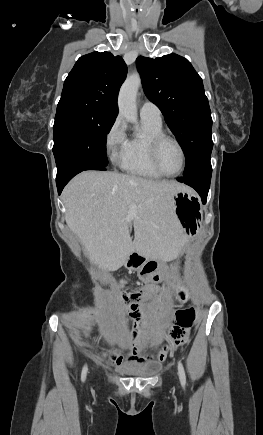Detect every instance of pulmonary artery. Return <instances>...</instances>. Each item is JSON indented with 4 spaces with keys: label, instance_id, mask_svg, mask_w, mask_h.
I'll list each match as a JSON object with an SVG mask.
<instances>
[{
    "label": "pulmonary artery",
    "instance_id": "e3ab8cb5",
    "mask_svg": "<svg viewBox=\"0 0 263 435\" xmlns=\"http://www.w3.org/2000/svg\"><path fill=\"white\" fill-rule=\"evenodd\" d=\"M140 116L149 118L157 122H162V114L160 109L152 102L145 101L140 108Z\"/></svg>",
    "mask_w": 263,
    "mask_h": 435
}]
</instances>
